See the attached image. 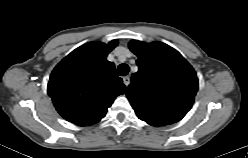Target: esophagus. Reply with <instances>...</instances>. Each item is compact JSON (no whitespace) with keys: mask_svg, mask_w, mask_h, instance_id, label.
Masks as SVG:
<instances>
[{"mask_svg":"<svg viewBox=\"0 0 248 158\" xmlns=\"http://www.w3.org/2000/svg\"><path fill=\"white\" fill-rule=\"evenodd\" d=\"M123 83L125 84V86H128V85H129V83H130V78H129V76L123 77Z\"/></svg>","mask_w":248,"mask_h":158,"instance_id":"1","label":"esophagus"}]
</instances>
